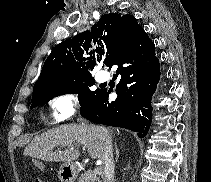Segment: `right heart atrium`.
<instances>
[{
    "mask_svg": "<svg viewBox=\"0 0 211 182\" xmlns=\"http://www.w3.org/2000/svg\"><path fill=\"white\" fill-rule=\"evenodd\" d=\"M48 105L49 118L55 124L72 119L80 108L78 96L71 92L55 96Z\"/></svg>",
    "mask_w": 211,
    "mask_h": 182,
    "instance_id": "obj_1",
    "label": "right heart atrium"
}]
</instances>
